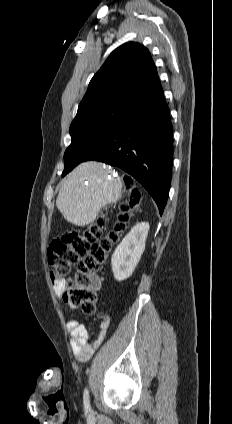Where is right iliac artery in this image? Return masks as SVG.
Masks as SVG:
<instances>
[{"label": "right iliac artery", "mask_w": 232, "mask_h": 424, "mask_svg": "<svg viewBox=\"0 0 232 424\" xmlns=\"http://www.w3.org/2000/svg\"><path fill=\"white\" fill-rule=\"evenodd\" d=\"M84 409L86 412L90 411V401H89V392L87 389L84 391L83 396Z\"/></svg>", "instance_id": "right-iliac-artery-1"}]
</instances>
